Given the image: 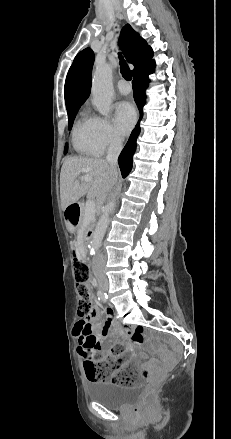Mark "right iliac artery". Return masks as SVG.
I'll return each instance as SVG.
<instances>
[{
  "label": "right iliac artery",
  "instance_id": "right-iliac-artery-1",
  "mask_svg": "<svg viewBox=\"0 0 231 439\" xmlns=\"http://www.w3.org/2000/svg\"><path fill=\"white\" fill-rule=\"evenodd\" d=\"M97 295H98V299L99 300H101L102 302H106L108 296H107V294L104 291L99 290Z\"/></svg>",
  "mask_w": 231,
  "mask_h": 439
}]
</instances>
